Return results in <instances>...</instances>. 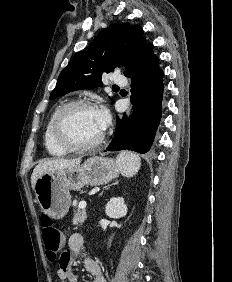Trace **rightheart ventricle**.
<instances>
[{"mask_svg": "<svg viewBox=\"0 0 232 282\" xmlns=\"http://www.w3.org/2000/svg\"><path fill=\"white\" fill-rule=\"evenodd\" d=\"M60 107L56 108L53 113L51 114L46 128L44 132V145L47 150V152L54 157H62L65 156L69 151L65 150L64 148L60 147L54 140L53 135H52V124L54 117Z\"/></svg>", "mask_w": 232, "mask_h": 282, "instance_id": "e07e8e85", "label": "right heart ventricle"}]
</instances>
